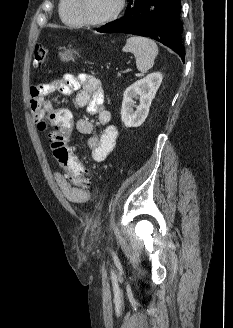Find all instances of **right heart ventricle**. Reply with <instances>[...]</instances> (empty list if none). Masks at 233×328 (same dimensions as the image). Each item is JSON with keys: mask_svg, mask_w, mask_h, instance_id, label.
I'll return each mask as SVG.
<instances>
[{"mask_svg": "<svg viewBox=\"0 0 233 328\" xmlns=\"http://www.w3.org/2000/svg\"><path fill=\"white\" fill-rule=\"evenodd\" d=\"M74 5L75 0H60L59 14L65 25L72 28H79L82 24L76 16Z\"/></svg>", "mask_w": 233, "mask_h": 328, "instance_id": "1", "label": "right heart ventricle"}]
</instances>
